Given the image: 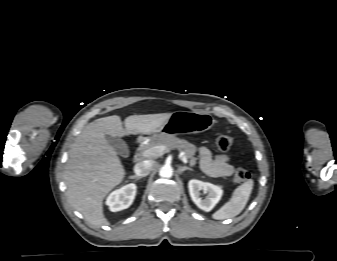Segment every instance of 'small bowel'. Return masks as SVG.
<instances>
[{"label":"small bowel","instance_id":"c3829d8e","mask_svg":"<svg viewBox=\"0 0 337 261\" xmlns=\"http://www.w3.org/2000/svg\"><path fill=\"white\" fill-rule=\"evenodd\" d=\"M201 169L214 177H227L233 173L234 167L230 163V157L226 154L215 155L208 148L199 149Z\"/></svg>","mask_w":337,"mask_h":261}]
</instances>
